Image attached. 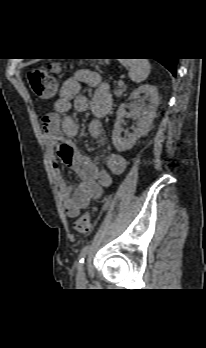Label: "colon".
<instances>
[{"instance_id":"colon-1","label":"colon","mask_w":206,"mask_h":348,"mask_svg":"<svg viewBox=\"0 0 206 348\" xmlns=\"http://www.w3.org/2000/svg\"><path fill=\"white\" fill-rule=\"evenodd\" d=\"M56 67H34L28 71L27 78L32 94L38 98H47L52 96L56 90L53 72ZM95 207H92L74 223V229L81 234H86L91 230L92 214Z\"/></svg>"}]
</instances>
